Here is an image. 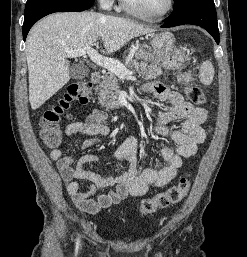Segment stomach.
Returning <instances> with one entry per match:
<instances>
[{
    "label": "stomach",
    "mask_w": 247,
    "mask_h": 257,
    "mask_svg": "<svg viewBox=\"0 0 247 257\" xmlns=\"http://www.w3.org/2000/svg\"><path fill=\"white\" fill-rule=\"evenodd\" d=\"M152 53L140 50L139 55H145V59H153L166 69H179L186 60L185 49L177 43L170 32H162L152 35L150 40Z\"/></svg>",
    "instance_id": "obj_1"
}]
</instances>
